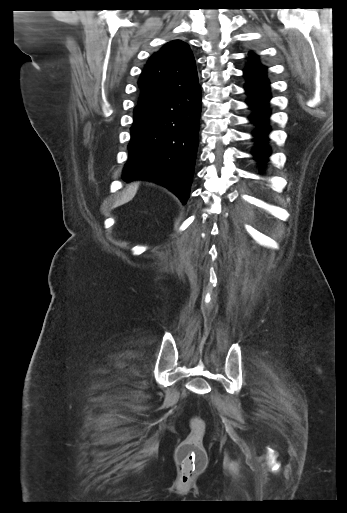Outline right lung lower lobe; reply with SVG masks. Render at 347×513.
Segmentation results:
<instances>
[{
    "label": "right lung lower lobe",
    "instance_id": "obj_1",
    "mask_svg": "<svg viewBox=\"0 0 347 513\" xmlns=\"http://www.w3.org/2000/svg\"><path fill=\"white\" fill-rule=\"evenodd\" d=\"M201 90L139 102L134 109L123 179L161 184L183 204L189 198L198 147Z\"/></svg>",
    "mask_w": 347,
    "mask_h": 513
}]
</instances>
